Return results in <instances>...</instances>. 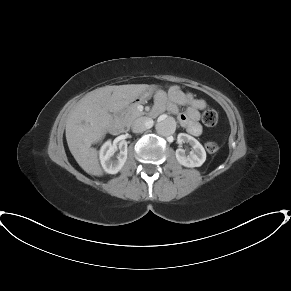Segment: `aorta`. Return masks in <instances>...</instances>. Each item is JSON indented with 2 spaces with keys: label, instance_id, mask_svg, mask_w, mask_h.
I'll return each mask as SVG.
<instances>
[{
  "label": "aorta",
  "instance_id": "aorta-1",
  "mask_svg": "<svg viewBox=\"0 0 291 291\" xmlns=\"http://www.w3.org/2000/svg\"><path fill=\"white\" fill-rule=\"evenodd\" d=\"M176 125V121L173 117L162 115L158 118L156 131L162 136H169L175 132Z\"/></svg>",
  "mask_w": 291,
  "mask_h": 291
}]
</instances>
